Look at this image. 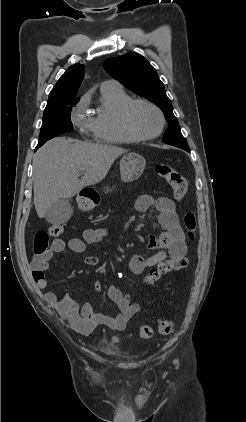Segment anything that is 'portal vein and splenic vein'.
I'll list each match as a JSON object with an SVG mask.
<instances>
[{
  "label": "portal vein and splenic vein",
  "mask_w": 246,
  "mask_h": 422,
  "mask_svg": "<svg viewBox=\"0 0 246 422\" xmlns=\"http://www.w3.org/2000/svg\"><path fill=\"white\" fill-rule=\"evenodd\" d=\"M80 173L82 174L83 173V170H80Z\"/></svg>",
  "instance_id": "obj_1"
}]
</instances>
